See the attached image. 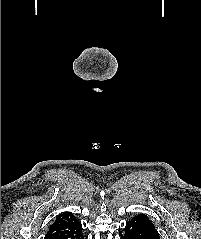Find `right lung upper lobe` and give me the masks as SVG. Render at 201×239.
Instances as JSON below:
<instances>
[{"instance_id": "obj_1", "label": "right lung upper lobe", "mask_w": 201, "mask_h": 239, "mask_svg": "<svg viewBox=\"0 0 201 239\" xmlns=\"http://www.w3.org/2000/svg\"><path fill=\"white\" fill-rule=\"evenodd\" d=\"M82 225L72 213L59 214L50 226L45 239H80Z\"/></svg>"}]
</instances>
